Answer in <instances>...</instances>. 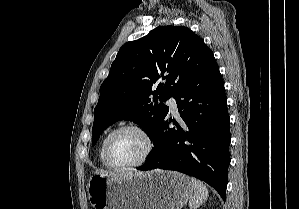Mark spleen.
<instances>
[{"mask_svg":"<svg viewBox=\"0 0 299 209\" xmlns=\"http://www.w3.org/2000/svg\"><path fill=\"white\" fill-rule=\"evenodd\" d=\"M191 184L194 193L193 196L190 197L189 206L190 209H197L207 199L208 189L203 182L196 178H191Z\"/></svg>","mask_w":299,"mask_h":209,"instance_id":"spleen-1","label":"spleen"}]
</instances>
